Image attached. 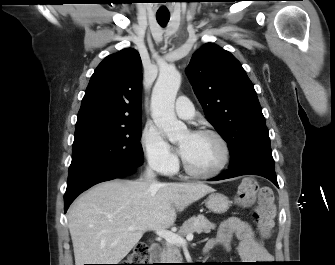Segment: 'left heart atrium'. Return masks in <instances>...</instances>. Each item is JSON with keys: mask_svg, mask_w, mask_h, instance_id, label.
Wrapping results in <instances>:
<instances>
[{"mask_svg": "<svg viewBox=\"0 0 335 265\" xmlns=\"http://www.w3.org/2000/svg\"><path fill=\"white\" fill-rule=\"evenodd\" d=\"M180 152H181V154H182V156H183V154H184V151H183V149H180Z\"/></svg>", "mask_w": 335, "mask_h": 265, "instance_id": "left-heart-atrium-1", "label": "left heart atrium"}]
</instances>
